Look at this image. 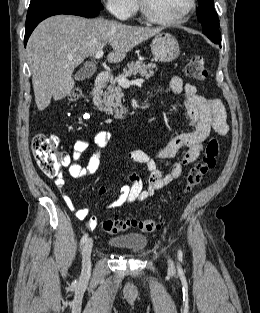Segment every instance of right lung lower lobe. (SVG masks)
Masks as SVG:
<instances>
[{
    "mask_svg": "<svg viewBox=\"0 0 260 313\" xmlns=\"http://www.w3.org/2000/svg\"><path fill=\"white\" fill-rule=\"evenodd\" d=\"M101 9L93 8L83 4L58 2V1H44L38 3H30L27 18L24 44L28 41L34 28L42 20L58 14L77 15L86 18L96 17Z\"/></svg>",
    "mask_w": 260,
    "mask_h": 313,
    "instance_id": "1",
    "label": "right lung lower lobe"
}]
</instances>
